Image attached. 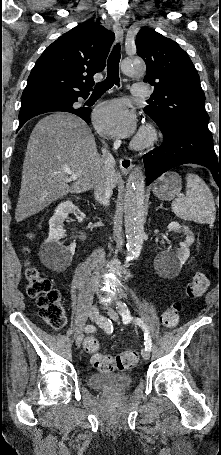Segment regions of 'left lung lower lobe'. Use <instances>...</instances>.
I'll list each match as a JSON object with an SVG mask.
<instances>
[{
  "label": "left lung lower lobe",
  "instance_id": "0a47b994",
  "mask_svg": "<svg viewBox=\"0 0 221 455\" xmlns=\"http://www.w3.org/2000/svg\"><path fill=\"white\" fill-rule=\"evenodd\" d=\"M163 137L162 145L143 157L147 185L171 168L194 163L207 167L221 189V155H216L207 127L184 123Z\"/></svg>",
  "mask_w": 221,
  "mask_h": 455
}]
</instances>
